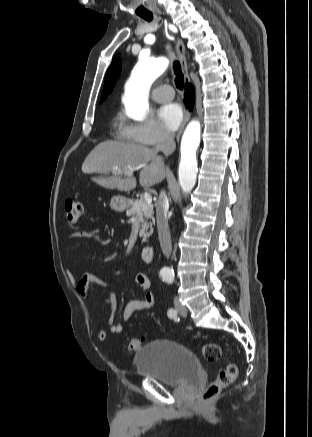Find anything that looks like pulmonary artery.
Segmentation results:
<instances>
[{
  "instance_id": "pulmonary-artery-1",
  "label": "pulmonary artery",
  "mask_w": 312,
  "mask_h": 437,
  "mask_svg": "<svg viewBox=\"0 0 312 437\" xmlns=\"http://www.w3.org/2000/svg\"><path fill=\"white\" fill-rule=\"evenodd\" d=\"M174 97V91L169 85H161L152 92V98L157 102H168Z\"/></svg>"
}]
</instances>
